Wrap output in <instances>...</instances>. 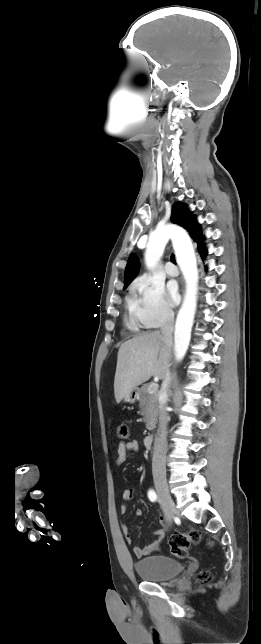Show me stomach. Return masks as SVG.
Returning <instances> with one entry per match:
<instances>
[{
  "instance_id": "obj_1",
  "label": "stomach",
  "mask_w": 261,
  "mask_h": 644,
  "mask_svg": "<svg viewBox=\"0 0 261 644\" xmlns=\"http://www.w3.org/2000/svg\"><path fill=\"white\" fill-rule=\"evenodd\" d=\"M137 397H138V390L135 389L124 397V401L132 404L135 402Z\"/></svg>"
}]
</instances>
